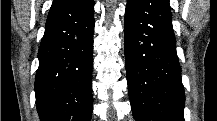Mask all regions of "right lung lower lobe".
Wrapping results in <instances>:
<instances>
[{
  "label": "right lung lower lobe",
  "mask_w": 217,
  "mask_h": 121,
  "mask_svg": "<svg viewBox=\"0 0 217 121\" xmlns=\"http://www.w3.org/2000/svg\"><path fill=\"white\" fill-rule=\"evenodd\" d=\"M93 0H54L35 79L41 121H89L92 113Z\"/></svg>",
  "instance_id": "right-lung-lower-lobe-1"
}]
</instances>
